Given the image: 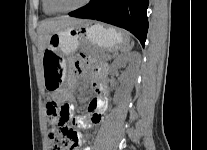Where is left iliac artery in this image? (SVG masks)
Segmentation results:
<instances>
[{
	"label": "left iliac artery",
	"mask_w": 207,
	"mask_h": 150,
	"mask_svg": "<svg viewBox=\"0 0 207 150\" xmlns=\"http://www.w3.org/2000/svg\"><path fill=\"white\" fill-rule=\"evenodd\" d=\"M85 150H90V148L89 147H86Z\"/></svg>",
	"instance_id": "44dca946"
}]
</instances>
